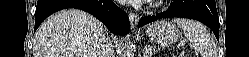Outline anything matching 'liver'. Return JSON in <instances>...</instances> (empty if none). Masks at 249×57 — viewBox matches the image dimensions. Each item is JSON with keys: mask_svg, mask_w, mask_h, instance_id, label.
Listing matches in <instances>:
<instances>
[{"mask_svg": "<svg viewBox=\"0 0 249 57\" xmlns=\"http://www.w3.org/2000/svg\"><path fill=\"white\" fill-rule=\"evenodd\" d=\"M104 26L79 9L62 10L35 33L34 57H98Z\"/></svg>", "mask_w": 249, "mask_h": 57, "instance_id": "obj_1", "label": "liver"}]
</instances>
